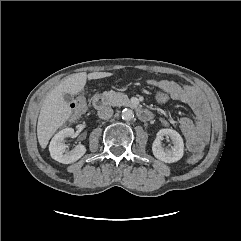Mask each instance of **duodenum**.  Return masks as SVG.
I'll return each instance as SVG.
<instances>
[{
    "label": "duodenum",
    "mask_w": 241,
    "mask_h": 241,
    "mask_svg": "<svg viewBox=\"0 0 241 241\" xmlns=\"http://www.w3.org/2000/svg\"><path fill=\"white\" fill-rule=\"evenodd\" d=\"M107 101L108 99L105 95H101V94L95 95L93 97V106L96 109L100 110L106 106ZM137 114L142 121H149L152 118L151 112L145 108H138Z\"/></svg>",
    "instance_id": "410a0bca"
}]
</instances>
